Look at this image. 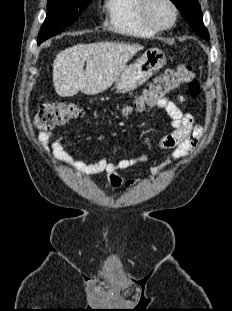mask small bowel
Instances as JSON below:
<instances>
[{"instance_id": "c3829d8e", "label": "small bowel", "mask_w": 232, "mask_h": 311, "mask_svg": "<svg viewBox=\"0 0 232 311\" xmlns=\"http://www.w3.org/2000/svg\"><path fill=\"white\" fill-rule=\"evenodd\" d=\"M186 102V98L179 96L177 102L163 98L158 101L156 107L163 111L169 121L172 131L157 139V145L162 150H171L172 155L161 165L153 167V175L160 174L173 161L188 153L198 142L202 129L194 122V117L189 113H183L177 103ZM122 124V123H121ZM64 136L53 137L52 132H43L39 135V143L43 152L55 158L68 168L94 180L101 174H106L109 184L114 188H131L142 182L140 178L125 180L119 175V171L143 164L147 160L145 152L134 157H123L116 161H109L108 156H101L96 162L87 163L76 160L63 146Z\"/></svg>"}]
</instances>
